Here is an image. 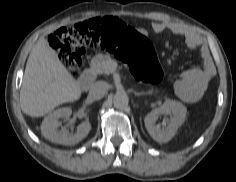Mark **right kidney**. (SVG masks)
I'll list each match as a JSON object with an SVG mask.
<instances>
[{"label": "right kidney", "mask_w": 236, "mask_h": 182, "mask_svg": "<svg viewBox=\"0 0 236 182\" xmlns=\"http://www.w3.org/2000/svg\"><path fill=\"white\" fill-rule=\"evenodd\" d=\"M72 110L69 107L60 108L45 117L41 125L42 135L51 142L62 145H74L82 141L90 132L91 124L89 121L82 122L78 127L76 133L69 132L62 128L59 129L61 123L60 118H69Z\"/></svg>", "instance_id": "ca27d5eb"}]
</instances>
